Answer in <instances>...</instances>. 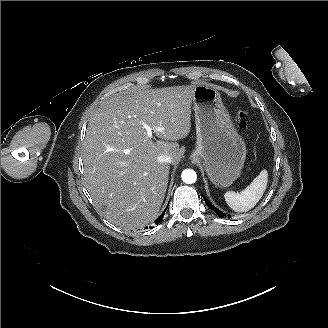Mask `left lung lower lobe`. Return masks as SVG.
I'll use <instances>...</instances> for the list:
<instances>
[{
	"label": "left lung lower lobe",
	"mask_w": 328,
	"mask_h": 328,
	"mask_svg": "<svg viewBox=\"0 0 328 328\" xmlns=\"http://www.w3.org/2000/svg\"><path fill=\"white\" fill-rule=\"evenodd\" d=\"M204 201L206 202L207 206L211 208L220 218H223L225 216V213L221 212L219 209L214 207L205 197H203ZM231 216L228 215V219H230Z\"/></svg>",
	"instance_id": "obj_1"
}]
</instances>
